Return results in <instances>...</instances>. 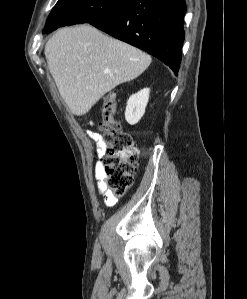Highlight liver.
<instances>
[{"label": "liver", "instance_id": "liver-1", "mask_svg": "<svg viewBox=\"0 0 247 299\" xmlns=\"http://www.w3.org/2000/svg\"><path fill=\"white\" fill-rule=\"evenodd\" d=\"M45 57L70 111L82 116L121 83L141 75L150 55L84 24L59 29L47 41Z\"/></svg>", "mask_w": 247, "mask_h": 299}]
</instances>
